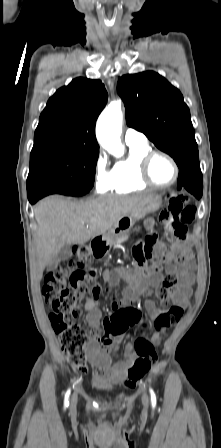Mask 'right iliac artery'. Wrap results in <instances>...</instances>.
Returning <instances> with one entry per match:
<instances>
[{
    "mask_svg": "<svg viewBox=\"0 0 221 448\" xmlns=\"http://www.w3.org/2000/svg\"><path fill=\"white\" fill-rule=\"evenodd\" d=\"M69 395H70V390H68L65 395V407H68V405H69V402H68Z\"/></svg>",
    "mask_w": 221,
    "mask_h": 448,
    "instance_id": "right-iliac-artery-1",
    "label": "right iliac artery"
}]
</instances>
